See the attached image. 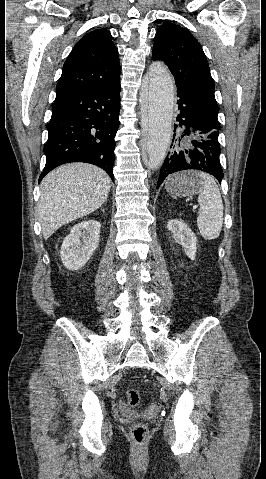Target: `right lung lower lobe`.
I'll return each mask as SVG.
<instances>
[{
  "mask_svg": "<svg viewBox=\"0 0 266 479\" xmlns=\"http://www.w3.org/2000/svg\"><path fill=\"white\" fill-rule=\"evenodd\" d=\"M120 79L88 89L56 94L44 146L46 165L39 182L55 167L86 162L114 181V137L119 127Z\"/></svg>",
  "mask_w": 266,
  "mask_h": 479,
  "instance_id": "obj_1",
  "label": "right lung lower lobe"
}]
</instances>
